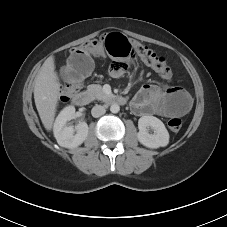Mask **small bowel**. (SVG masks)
I'll return each instance as SVG.
<instances>
[{"label":"small bowel","instance_id":"small-bowel-1","mask_svg":"<svg viewBox=\"0 0 227 227\" xmlns=\"http://www.w3.org/2000/svg\"><path fill=\"white\" fill-rule=\"evenodd\" d=\"M92 67L93 60L90 55L74 51L68 56L67 65L61 69L60 78L67 85H78L91 74ZM126 68L127 63L124 65L113 63L110 75L113 78H121L125 74ZM191 103L189 94L180 87L161 88L145 84L134 96L131 107L133 112L139 116L156 114L171 117L186 114Z\"/></svg>","mask_w":227,"mask_h":227}]
</instances>
